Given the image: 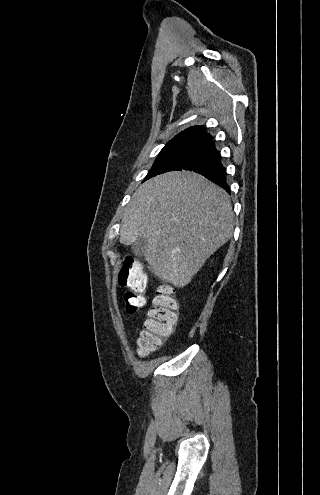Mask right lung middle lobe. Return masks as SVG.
<instances>
[{
	"instance_id": "1",
	"label": "right lung middle lobe",
	"mask_w": 320,
	"mask_h": 495,
	"mask_svg": "<svg viewBox=\"0 0 320 495\" xmlns=\"http://www.w3.org/2000/svg\"><path fill=\"white\" fill-rule=\"evenodd\" d=\"M206 142L200 140H179L169 142L156 158L146 179L168 171L178 170Z\"/></svg>"
}]
</instances>
